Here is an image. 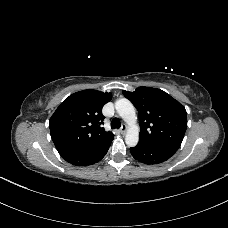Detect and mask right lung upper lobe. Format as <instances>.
<instances>
[{"instance_id": "obj_1", "label": "right lung upper lobe", "mask_w": 228, "mask_h": 228, "mask_svg": "<svg viewBox=\"0 0 228 228\" xmlns=\"http://www.w3.org/2000/svg\"><path fill=\"white\" fill-rule=\"evenodd\" d=\"M111 93L87 89L67 97L49 121L51 138L63 157L94 148L112 138L111 132L101 127L103 106Z\"/></svg>"}]
</instances>
